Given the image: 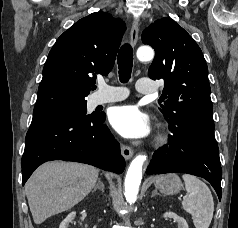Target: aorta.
<instances>
[{
	"mask_svg": "<svg viewBox=\"0 0 238 228\" xmlns=\"http://www.w3.org/2000/svg\"><path fill=\"white\" fill-rule=\"evenodd\" d=\"M154 57V51L149 46H142L137 50V58L140 61H150ZM147 156L139 154L131 162L125 177V198L130 204L135 203L142 179V168Z\"/></svg>",
	"mask_w": 238,
	"mask_h": 228,
	"instance_id": "aorta-1",
	"label": "aorta"
}]
</instances>
